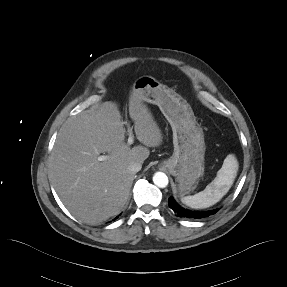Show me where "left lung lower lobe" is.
Instances as JSON below:
<instances>
[{
    "instance_id": "left-lung-lower-lobe-1",
    "label": "left lung lower lobe",
    "mask_w": 287,
    "mask_h": 287,
    "mask_svg": "<svg viewBox=\"0 0 287 287\" xmlns=\"http://www.w3.org/2000/svg\"><path fill=\"white\" fill-rule=\"evenodd\" d=\"M168 203H169V207L174 211V213L178 217H182V218L200 219V218H204V217H208L210 215H213L218 211V209L213 210V211H190V210L184 209L180 205H178L172 197H170L168 199Z\"/></svg>"
}]
</instances>
